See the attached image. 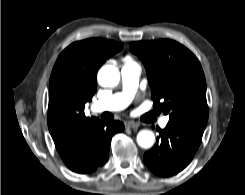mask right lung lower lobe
Here are the masks:
<instances>
[{
  "instance_id": "obj_1",
  "label": "right lung lower lobe",
  "mask_w": 245,
  "mask_h": 195,
  "mask_svg": "<svg viewBox=\"0 0 245 195\" xmlns=\"http://www.w3.org/2000/svg\"><path fill=\"white\" fill-rule=\"evenodd\" d=\"M124 129V124L119 121H99L91 128L85 148L79 158L66 166L73 172L85 174L95 171L108 159L109 147L112 136Z\"/></svg>"
}]
</instances>
